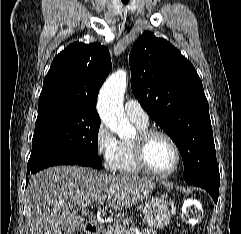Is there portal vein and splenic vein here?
<instances>
[{"mask_svg": "<svg viewBox=\"0 0 241 234\" xmlns=\"http://www.w3.org/2000/svg\"><path fill=\"white\" fill-rule=\"evenodd\" d=\"M103 202H104V200H99V201L97 202V204H98V205H102Z\"/></svg>", "mask_w": 241, "mask_h": 234, "instance_id": "1", "label": "portal vein and splenic vein"}]
</instances>
